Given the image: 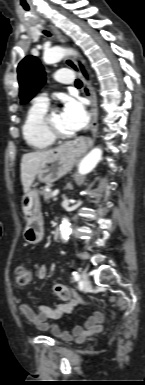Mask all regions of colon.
Returning <instances> with one entry per match:
<instances>
[{
    "instance_id": "5ec220e1",
    "label": "colon",
    "mask_w": 145,
    "mask_h": 385,
    "mask_svg": "<svg viewBox=\"0 0 145 385\" xmlns=\"http://www.w3.org/2000/svg\"><path fill=\"white\" fill-rule=\"evenodd\" d=\"M30 280H31V271L30 269L25 266V265H18L15 267V270H14V284H15V287L19 290H23L25 289L28 284L30 283ZM62 294H64L62 292ZM82 302H85L87 304H99L97 302H93V301H82ZM101 305L102 307L108 309L110 311V314L113 318H115L116 314L115 312L110 309L109 307H107L106 305L104 304H99Z\"/></svg>"
}]
</instances>
